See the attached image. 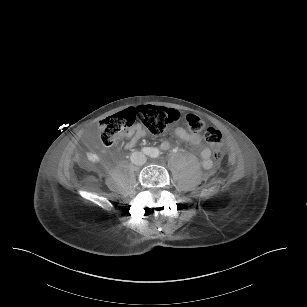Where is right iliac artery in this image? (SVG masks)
<instances>
[{"mask_svg":"<svg viewBox=\"0 0 307 307\" xmlns=\"http://www.w3.org/2000/svg\"><path fill=\"white\" fill-rule=\"evenodd\" d=\"M152 149H153V148H152ZM152 149L149 148V147H144V148L142 149V152H143L144 154H146V155H150Z\"/></svg>","mask_w":307,"mask_h":307,"instance_id":"right-iliac-artery-1","label":"right iliac artery"}]
</instances>
